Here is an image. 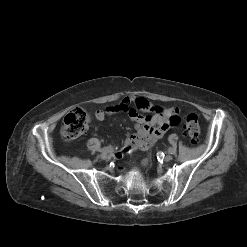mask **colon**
Instances as JSON below:
<instances>
[{
	"label": "colon",
	"instance_id": "colon-1",
	"mask_svg": "<svg viewBox=\"0 0 247 247\" xmlns=\"http://www.w3.org/2000/svg\"><path fill=\"white\" fill-rule=\"evenodd\" d=\"M88 124L89 114L82 108H76L65 116L61 136L66 141L74 140L84 133ZM184 128L191 142L197 143L200 139L201 128L195 113H190L185 117Z\"/></svg>",
	"mask_w": 247,
	"mask_h": 247
}]
</instances>
